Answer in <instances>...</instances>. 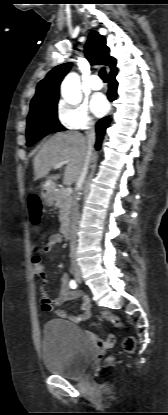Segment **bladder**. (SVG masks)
Wrapping results in <instances>:
<instances>
[{
    "mask_svg": "<svg viewBox=\"0 0 168 415\" xmlns=\"http://www.w3.org/2000/svg\"><path fill=\"white\" fill-rule=\"evenodd\" d=\"M41 345L47 370L65 378L80 377L97 353L81 328L60 319L44 324Z\"/></svg>",
    "mask_w": 168,
    "mask_h": 415,
    "instance_id": "bladder-1",
    "label": "bladder"
}]
</instances>
